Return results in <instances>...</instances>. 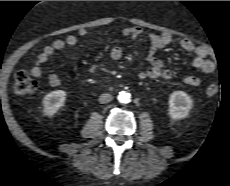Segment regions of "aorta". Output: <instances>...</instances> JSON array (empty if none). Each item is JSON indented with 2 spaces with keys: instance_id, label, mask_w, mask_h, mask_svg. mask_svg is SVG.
Masks as SVG:
<instances>
[{
  "instance_id": "1",
  "label": "aorta",
  "mask_w": 230,
  "mask_h": 186,
  "mask_svg": "<svg viewBox=\"0 0 230 186\" xmlns=\"http://www.w3.org/2000/svg\"><path fill=\"white\" fill-rule=\"evenodd\" d=\"M118 101L123 104H127L131 101V95L128 92L122 91L119 92Z\"/></svg>"
}]
</instances>
